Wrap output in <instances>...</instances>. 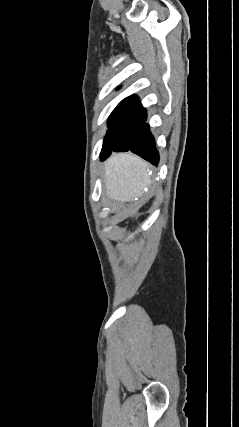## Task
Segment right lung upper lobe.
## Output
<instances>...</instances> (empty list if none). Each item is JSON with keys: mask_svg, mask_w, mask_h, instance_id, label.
I'll return each mask as SVG.
<instances>
[{"mask_svg": "<svg viewBox=\"0 0 239 427\" xmlns=\"http://www.w3.org/2000/svg\"><path fill=\"white\" fill-rule=\"evenodd\" d=\"M127 99H138V97H137V96L132 95V96H129Z\"/></svg>", "mask_w": 239, "mask_h": 427, "instance_id": "cb5924a9", "label": "right lung upper lobe"}]
</instances>
